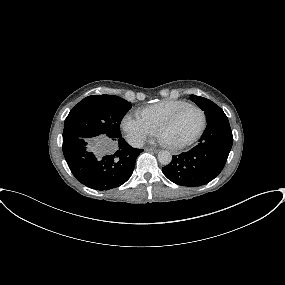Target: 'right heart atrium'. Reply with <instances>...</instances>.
<instances>
[{"label": "right heart atrium", "instance_id": "d8ad5b80", "mask_svg": "<svg viewBox=\"0 0 285 285\" xmlns=\"http://www.w3.org/2000/svg\"><path fill=\"white\" fill-rule=\"evenodd\" d=\"M122 127L128 140L134 146H140L147 137L155 133V129L145 122L139 115L128 113L122 120Z\"/></svg>", "mask_w": 285, "mask_h": 285}]
</instances>
